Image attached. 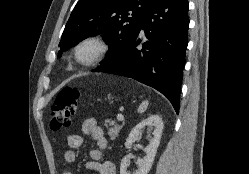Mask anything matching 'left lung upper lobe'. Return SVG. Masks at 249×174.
I'll list each match as a JSON object with an SVG mask.
<instances>
[{
	"instance_id": "left-lung-upper-lobe-1",
	"label": "left lung upper lobe",
	"mask_w": 249,
	"mask_h": 174,
	"mask_svg": "<svg viewBox=\"0 0 249 174\" xmlns=\"http://www.w3.org/2000/svg\"><path fill=\"white\" fill-rule=\"evenodd\" d=\"M152 1L79 0L62 34L59 55L89 36L102 34L110 48L100 67H110L138 35Z\"/></svg>"
}]
</instances>
